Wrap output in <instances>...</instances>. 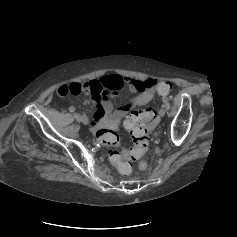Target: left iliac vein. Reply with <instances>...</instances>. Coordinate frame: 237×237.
<instances>
[{
    "label": "left iliac vein",
    "mask_w": 237,
    "mask_h": 237,
    "mask_svg": "<svg viewBox=\"0 0 237 237\" xmlns=\"http://www.w3.org/2000/svg\"><path fill=\"white\" fill-rule=\"evenodd\" d=\"M165 113H166V111H165L164 108H161V109L159 110V116H160V117H163V116L165 115Z\"/></svg>",
    "instance_id": "left-iliac-vein-1"
}]
</instances>
